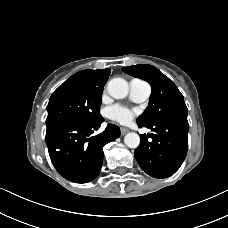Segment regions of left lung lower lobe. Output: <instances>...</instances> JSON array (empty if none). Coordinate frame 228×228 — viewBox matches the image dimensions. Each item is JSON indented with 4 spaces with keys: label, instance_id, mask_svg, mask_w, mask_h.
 <instances>
[{
    "label": "left lung lower lobe",
    "instance_id": "1",
    "mask_svg": "<svg viewBox=\"0 0 228 228\" xmlns=\"http://www.w3.org/2000/svg\"><path fill=\"white\" fill-rule=\"evenodd\" d=\"M138 125L154 132L140 135V145L134 152L140 167L155 178H166L174 174L187 154V113L175 114L152 125Z\"/></svg>",
    "mask_w": 228,
    "mask_h": 228
}]
</instances>
